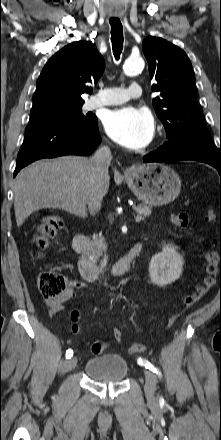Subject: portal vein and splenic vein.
<instances>
[{"label": "portal vein and splenic vein", "instance_id": "portal-vein-and-splenic-vein-1", "mask_svg": "<svg viewBox=\"0 0 221 440\" xmlns=\"http://www.w3.org/2000/svg\"><path fill=\"white\" fill-rule=\"evenodd\" d=\"M141 219H142L141 215H137L136 218H135V221H136V222H140Z\"/></svg>", "mask_w": 221, "mask_h": 440}]
</instances>
